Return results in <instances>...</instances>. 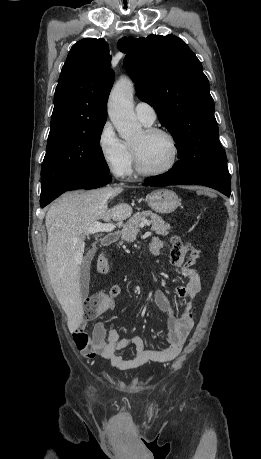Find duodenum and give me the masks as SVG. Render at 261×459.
<instances>
[{
	"mask_svg": "<svg viewBox=\"0 0 261 459\" xmlns=\"http://www.w3.org/2000/svg\"><path fill=\"white\" fill-rule=\"evenodd\" d=\"M118 234L116 232L106 234L102 239V244L104 246H109L116 241Z\"/></svg>",
	"mask_w": 261,
	"mask_h": 459,
	"instance_id": "410a0bca",
	"label": "duodenum"
}]
</instances>
